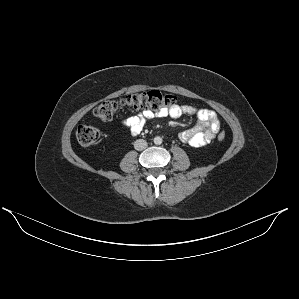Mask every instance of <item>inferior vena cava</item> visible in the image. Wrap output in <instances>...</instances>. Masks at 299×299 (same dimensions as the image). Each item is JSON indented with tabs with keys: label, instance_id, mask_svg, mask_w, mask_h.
<instances>
[{
	"label": "inferior vena cava",
	"instance_id": "obj_1",
	"mask_svg": "<svg viewBox=\"0 0 299 299\" xmlns=\"http://www.w3.org/2000/svg\"><path fill=\"white\" fill-rule=\"evenodd\" d=\"M147 146H148L147 142L143 139H138L134 142V148L137 151H142V150L146 149Z\"/></svg>",
	"mask_w": 299,
	"mask_h": 299
}]
</instances>
